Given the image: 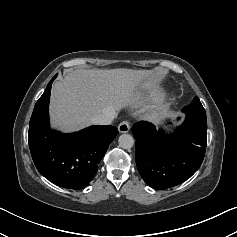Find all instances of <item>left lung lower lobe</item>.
Returning a JSON list of instances; mask_svg holds the SVG:
<instances>
[{
    "label": "left lung lower lobe",
    "instance_id": "obj_1",
    "mask_svg": "<svg viewBox=\"0 0 237 237\" xmlns=\"http://www.w3.org/2000/svg\"><path fill=\"white\" fill-rule=\"evenodd\" d=\"M132 131L138 171L152 188L166 189L184 182L204 159L207 121L186 117L172 135L147 122L136 123Z\"/></svg>",
    "mask_w": 237,
    "mask_h": 237
}]
</instances>
